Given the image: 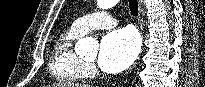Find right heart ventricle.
<instances>
[{"mask_svg": "<svg viewBox=\"0 0 205 87\" xmlns=\"http://www.w3.org/2000/svg\"><path fill=\"white\" fill-rule=\"evenodd\" d=\"M82 35L71 26L56 40L49 65L50 74L56 81L72 84L86 78V64L73 46L74 41Z\"/></svg>", "mask_w": 205, "mask_h": 87, "instance_id": "1", "label": "right heart ventricle"}]
</instances>
